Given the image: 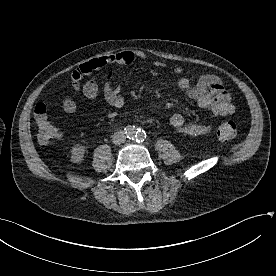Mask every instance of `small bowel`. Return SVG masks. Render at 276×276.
I'll list each match as a JSON object with an SVG mask.
<instances>
[{
    "label": "small bowel",
    "instance_id": "obj_1",
    "mask_svg": "<svg viewBox=\"0 0 276 276\" xmlns=\"http://www.w3.org/2000/svg\"><path fill=\"white\" fill-rule=\"evenodd\" d=\"M146 57L143 51L128 50L111 53L84 62L72 74L73 90L76 94L82 93L88 100H95L99 95V87L95 78L90 77L82 87L80 86V80L108 67L109 72L105 78L103 88L104 97L111 107L119 108L123 105L124 100L120 89L112 86L115 67L129 66L137 60L146 59ZM154 64L156 67L164 66L162 61H156ZM175 72L181 73L182 68L176 67ZM178 87L194 100L198 107L210 109L217 116H226L234 112L230 92L217 75L205 74L196 82L182 77L178 81ZM170 124L174 129L190 136L205 135L212 130V126L206 124H187L181 113H174L170 117Z\"/></svg>",
    "mask_w": 276,
    "mask_h": 276
}]
</instances>
